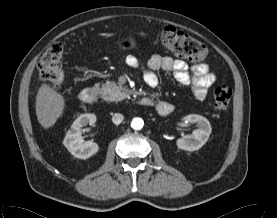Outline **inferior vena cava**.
<instances>
[{"instance_id": "1", "label": "inferior vena cava", "mask_w": 277, "mask_h": 218, "mask_svg": "<svg viewBox=\"0 0 277 218\" xmlns=\"http://www.w3.org/2000/svg\"><path fill=\"white\" fill-rule=\"evenodd\" d=\"M123 119H124V116L120 113H115L112 116V122L116 125H119L120 123H122Z\"/></svg>"}]
</instances>
